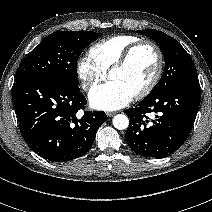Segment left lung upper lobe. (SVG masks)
<instances>
[{
	"label": "left lung upper lobe",
	"instance_id": "obj_1",
	"mask_svg": "<svg viewBox=\"0 0 212 212\" xmlns=\"http://www.w3.org/2000/svg\"><path fill=\"white\" fill-rule=\"evenodd\" d=\"M137 33L154 39L165 59L164 73L150 93L162 91L183 79L197 76L190 55L174 38L158 30H138Z\"/></svg>",
	"mask_w": 212,
	"mask_h": 212
}]
</instances>
